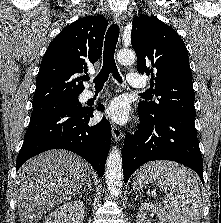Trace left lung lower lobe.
Segmentation results:
<instances>
[{"mask_svg": "<svg viewBox=\"0 0 221 223\" xmlns=\"http://www.w3.org/2000/svg\"><path fill=\"white\" fill-rule=\"evenodd\" d=\"M139 118L138 131L133 135L128 133L124 140V182L138 167L153 160H172L184 164L195 170L203 181L195 116L172 112L152 118L139 110Z\"/></svg>", "mask_w": 221, "mask_h": 223, "instance_id": "1", "label": "left lung lower lobe"}]
</instances>
